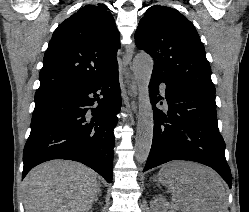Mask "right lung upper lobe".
Returning a JSON list of instances; mask_svg holds the SVG:
<instances>
[{
    "label": "right lung upper lobe",
    "instance_id": "cb5924a9",
    "mask_svg": "<svg viewBox=\"0 0 249 212\" xmlns=\"http://www.w3.org/2000/svg\"><path fill=\"white\" fill-rule=\"evenodd\" d=\"M119 32L102 4L86 5L54 31L35 96L91 83L118 68Z\"/></svg>",
    "mask_w": 249,
    "mask_h": 212
}]
</instances>
